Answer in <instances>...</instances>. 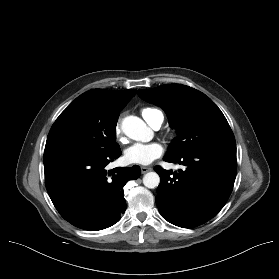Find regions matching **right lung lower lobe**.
Returning a JSON list of instances; mask_svg holds the SVG:
<instances>
[{"label": "right lung lower lobe", "instance_id": "right-lung-lower-lobe-1", "mask_svg": "<svg viewBox=\"0 0 279 279\" xmlns=\"http://www.w3.org/2000/svg\"><path fill=\"white\" fill-rule=\"evenodd\" d=\"M121 155L64 150L44 154L45 183L60 215L84 230H102L117 223L125 212L123 187L141 175L140 167H105Z\"/></svg>", "mask_w": 279, "mask_h": 279}]
</instances>
